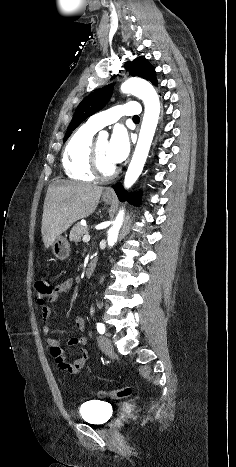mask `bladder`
I'll list each match as a JSON object with an SVG mask.
<instances>
[{
  "label": "bladder",
  "instance_id": "obj_1",
  "mask_svg": "<svg viewBox=\"0 0 236 467\" xmlns=\"http://www.w3.org/2000/svg\"><path fill=\"white\" fill-rule=\"evenodd\" d=\"M111 412L112 405L110 403L103 400H90L80 406L78 416L88 423L104 424Z\"/></svg>",
  "mask_w": 236,
  "mask_h": 467
}]
</instances>
